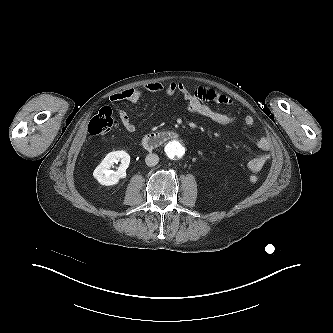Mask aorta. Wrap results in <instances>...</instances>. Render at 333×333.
Returning a JSON list of instances; mask_svg holds the SVG:
<instances>
[{"instance_id": "1", "label": "aorta", "mask_w": 333, "mask_h": 333, "mask_svg": "<svg viewBox=\"0 0 333 333\" xmlns=\"http://www.w3.org/2000/svg\"><path fill=\"white\" fill-rule=\"evenodd\" d=\"M166 154L171 159L181 158L184 154V147L179 141H171L166 145Z\"/></svg>"}]
</instances>
